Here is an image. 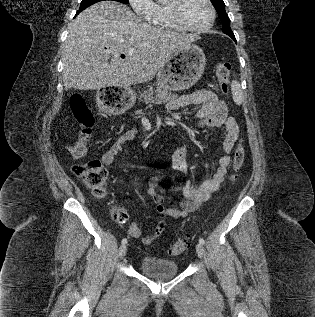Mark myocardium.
I'll list each match as a JSON object with an SVG mask.
<instances>
[{
    "mask_svg": "<svg viewBox=\"0 0 315 317\" xmlns=\"http://www.w3.org/2000/svg\"><path fill=\"white\" fill-rule=\"evenodd\" d=\"M204 1L207 4L210 11V19H209V22L205 26L191 27L183 21L181 16V10H182L184 0H169L166 7H167L170 20L177 28L184 31L193 32V33H203L210 30L212 26L214 25V22L216 19V10L211 0H204Z\"/></svg>",
    "mask_w": 315,
    "mask_h": 317,
    "instance_id": "f54148a6",
    "label": "myocardium"
}]
</instances>
